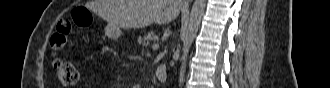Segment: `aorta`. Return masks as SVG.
<instances>
[{
  "mask_svg": "<svg viewBox=\"0 0 330 88\" xmlns=\"http://www.w3.org/2000/svg\"><path fill=\"white\" fill-rule=\"evenodd\" d=\"M205 7H206V0H195L190 12L188 27L183 36V49H182L183 55H182V64L180 67L179 80H178L179 86H182L185 81L184 78L186 72L188 53L194 41V38L196 37L198 29L200 27V23L205 12Z\"/></svg>",
  "mask_w": 330,
  "mask_h": 88,
  "instance_id": "aorta-1",
  "label": "aorta"
}]
</instances>
